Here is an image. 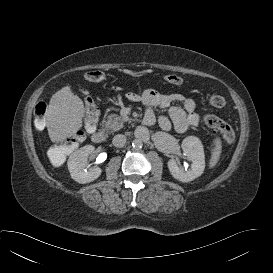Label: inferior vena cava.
I'll return each instance as SVG.
<instances>
[{
	"mask_svg": "<svg viewBox=\"0 0 273 273\" xmlns=\"http://www.w3.org/2000/svg\"><path fill=\"white\" fill-rule=\"evenodd\" d=\"M112 143L115 147H123L126 143V136L123 134H117L114 136Z\"/></svg>",
	"mask_w": 273,
	"mask_h": 273,
	"instance_id": "602c4592",
	"label": "inferior vena cava"
}]
</instances>
